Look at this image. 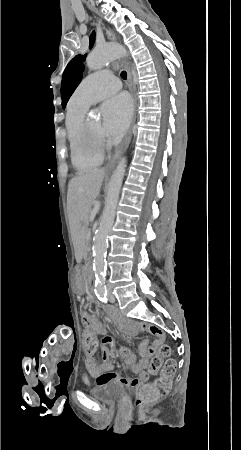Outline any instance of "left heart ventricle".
I'll list each match as a JSON object with an SVG mask.
<instances>
[{
  "label": "left heart ventricle",
  "mask_w": 241,
  "mask_h": 450,
  "mask_svg": "<svg viewBox=\"0 0 241 450\" xmlns=\"http://www.w3.org/2000/svg\"><path fill=\"white\" fill-rule=\"evenodd\" d=\"M95 126H96V125H95ZM102 129H103V128H100V129H99L100 133H101V130H102ZM93 137H94V136H93Z\"/></svg>",
  "instance_id": "1"
}]
</instances>
